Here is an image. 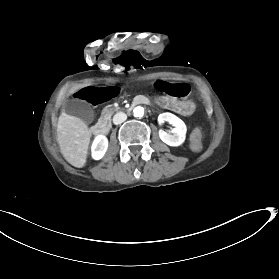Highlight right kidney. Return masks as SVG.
I'll return each mask as SVG.
<instances>
[{
    "label": "right kidney",
    "mask_w": 279,
    "mask_h": 279,
    "mask_svg": "<svg viewBox=\"0 0 279 279\" xmlns=\"http://www.w3.org/2000/svg\"><path fill=\"white\" fill-rule=\"evenodd\" d=\"M108 149V139L105 135H97L91 145V158L92 160H101Z\"/></svg>",
    "instance_id": "right-kidney-1"
}]
</instances>
